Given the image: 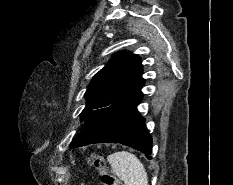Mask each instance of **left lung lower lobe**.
I'll return each mask as SVG.
<instances>
[{
  "label": "left lung lower lobe",
  "mask_w": 233,
  "mask_h": 185,
  "mask_svg": "<svg viewBox=\"0 0 233 185\" xmlns=\"http://www.w3.org/2000/svg\"><path fill=\"white\" fill-rule=\"evenodd\" d=\"M144 83L141 80L119 96L92 127L72 142L71 147L101 142L120 143L151 159L152 138L145 127V119L137 111V105L142 101L141 88Z\"/></svg>",
  "instance_id": "1"
}]
</instances>
